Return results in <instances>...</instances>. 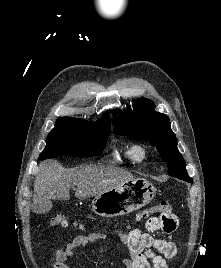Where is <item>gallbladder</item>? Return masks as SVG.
Segmentation results:
<instances>
[{"label": "gallbladder", "mask_w": 221, "mask_h": 268, "mask_svg": "<svg viewBox=\"0 0 221 268\" xmlns=\"http://www.w3.org/2000/svg\"><path fill=\"white\" fill-rule=\"evenodd\" d=\"M52 207V202H49V199H37L36 202H33L31 205V210H34V213H49V210Z\"/></svg>", "instance_id": "bac80fb5"}]
</instances>
